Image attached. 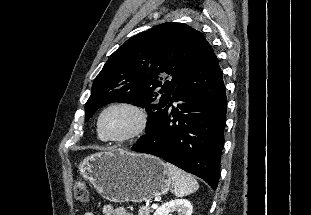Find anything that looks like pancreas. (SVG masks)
<instances>
[{"mask_svg": "<svg viewBox=\"0 0 311 215\" xmlns=\"http://www.w3.org/2000/svg\"><path fill=\"white\" fill-rule=\"evenodd\" d=\"M152 213V210L148 206H140L139 207V213L138 215H150Z\"/></svg>", "mask_w": 311, "mask_h": 215, "instance_id": "obj_1", "label": "pancreas"}]
</instances>
